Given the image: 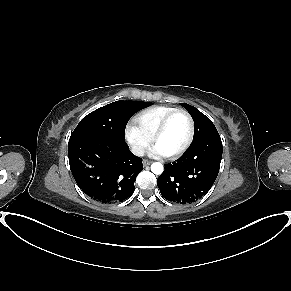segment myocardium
<instances>
[{
    "label": "myocardium",
    "instance_id": "1",
    "mask_svg": "<svg viewBox=\"0 0 291 291\" xmlns=\"http://www.w3.org/2000/svg\"><path fill=\"white\" fill-rule=\"evenodd\" d=\"M177 114H184L189 122V135L187 138L186 143L184 144V146L182 148H180L178 151L171 153V154H166L164 155L166 158L169 159H176L178 157H180L181 155H183L191 146L193 139H194V133H195V124H194V120L192 118V116L190 115V113L187 110L184 109H176L174 111H172L171 113H169L160 123V125L158 126V128L156 129L155 133L152 136V143L154 145H156L158 139L162 136V134L165 132L167 125L169 123V121Z\"/></svg>",
    "mask_w": 291,
    "mask_h": 291
}]
</instances>
